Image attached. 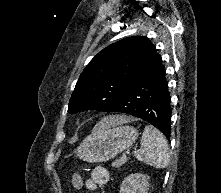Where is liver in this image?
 I'll use <instances>...</instances> for the list:
<instances>
[{
  "instance_id": "obj_1",
  "label": "liver",
  "mask_w": 221,
  "mask_h": 193,
  "mask_svg": "<svg viewBox=\"0 0 221 193\" xmlns=\"http://www.w3.org/2000/svg\"><path fill=\"white\" fill-rule=\"evenodd\" d=\"M131 120L132 118L126 116H112L109 118H104L98 125L101 128H110L115 127L117 125H121Z\"/></svg>"
}]
</instances>
